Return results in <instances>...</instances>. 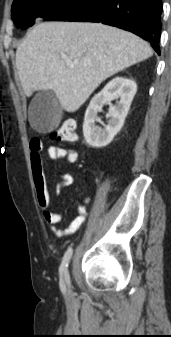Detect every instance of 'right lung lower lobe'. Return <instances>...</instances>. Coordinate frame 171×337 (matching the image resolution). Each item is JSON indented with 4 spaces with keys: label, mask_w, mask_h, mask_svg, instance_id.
<instances>
[{
    "label": "right lung lower lobe",
    "mask_w": 171,
    "mask_h": 337,
    "mask_svg": "<svg viewBox=\"0 0 171 337\" xmlns=\"http://www.w3.org/2000/svg\"><path fill=\"white\" fill-rule=\"evenodd\" d=\"M162 0H68L47 21L101 22L128 30L160 54Z\"/></svg>",
    "instance_id": "right-lung-lower-lobe-1"
}]
</instances>
